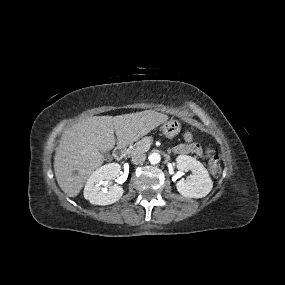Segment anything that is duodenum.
<instances>
[{
    "instance_id": "duodenum-1",
    "label": "duodenum",
    "mask_w": 285,
    "mask_h": 285,
    "mask_svg": "<svg viewBox=\"0 0 285 285\" xmlns=\"http://www.w3.org/2000/svg\"><path fill=\"white\" fill-rule=\"evenodd\" d=\"M126 154V148L123 145H119L114 150V157L117 160H121Z\"/></svg>"
}]
</instances>
